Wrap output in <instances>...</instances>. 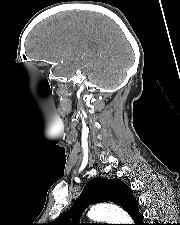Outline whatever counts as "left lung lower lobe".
<instances>
[{"mask_svg": "<svg viewBox=\"0 0 180 225\" xmlns=\"http://www.w3.org/2000/svg\"><path fill=\"white\" fill-rule=\"evenodd\" d=\"M132 219L134 220L135 224L134 225H145L143 224V215L139 213L138 210L134 211L131 215Z\"/></svg>", "mask_w": 180, "mask_h": 225, "instance_id": "left-lung-lower-lobe-1", "label": "left lung lower lobe"}]
</instances>
